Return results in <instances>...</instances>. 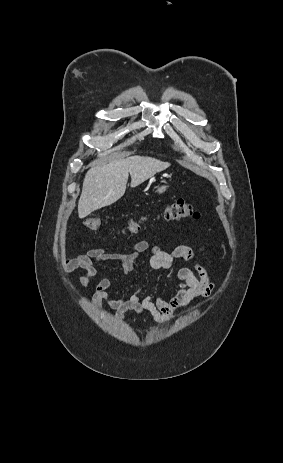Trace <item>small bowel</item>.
Returning a JSON list of instances; mask_svg holds the SVG:
<instances>
[{"instance_id":"1","label":"small bowel","mask_w":283,"mask_h":463,"mask_svg":"<svg viewBox=\"0 0 283 463\" xmlns=\"http://www.w3.org/2000/svg\"><path fill=\"white\" fill-rule=\"evenodd\" d=\"M149 253V265L154 270H169L180 260H186L193 264L194 271L187 267L176 270V290L168 298L166 294L146 295L136 290L129 297H112L109 290L116 286V281L103 279L97 285L92 302L100 307L104 301H108L110 307L122 319L127 311H135L139 314L147 313L155 322L165 323L171 321L179 310L201 297H208L215 288L211 280L205 260V249L197 254L187 245H177L170 251L152 246L147 240H141L132 245L127 251L111 252L103 247L91 248L84 254L76 257H67L64 261L65 271L71 273L82 269L85 274L79 279V287L83 291L88 282L96 274V265L105 262H117L123 268L125 275L134 271V263L143 253Z\"/></svg>"}]
</instances>
